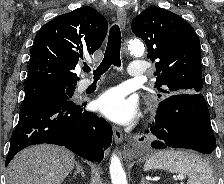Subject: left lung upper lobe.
Wrapping results in <instances>:
<instances>
[{
  "mask_svg": "<svg viewBox=\"0 0 224 184\" xmlns=\"http://www.w3.org/2000/svg\"><path fill=\"white\" fill-rule=\"evenodd\" d=\"M134 34L144 40L147 57L157 60L154 89L160 98L201 93L203 87L200 41L182 17L160 7H149L132 22Z\"/></svg>",
  "mask_w": 224,
  "mask_h": 184,
  "instance_id": "5c2ea615",
  "label": "left lung upper lobe"
}]
</instances>
